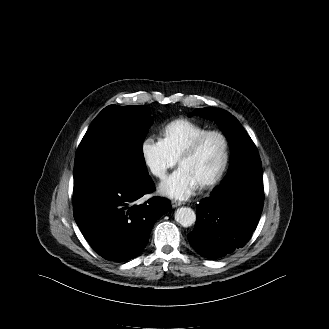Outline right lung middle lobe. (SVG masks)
<instances>
[{"instance_id":"dd1d6c3e","label":"right lung middle lobe","mask_w":329,"mask_h":329,"mask_svg":"<svg viewBox=\"0 0 329 329\" xmlns=\"http://www.w3.org/2000/svg\"><path fill=\"white\" fill-rule=\"evenodd\" d=\"M153 123L145 106L109 105L94 119L79 144L74 185L110 177L133 185L149 177L143 140Z\"/></svg>"}]
</instances>
